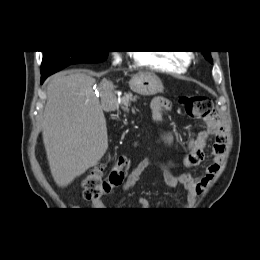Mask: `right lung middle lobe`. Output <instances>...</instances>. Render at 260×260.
<instances>
[{"instance_id":"obj_1","label":"right lung middle lobe","mask_w":260,"mask_h":260,"mask_svg":"<svg viewBox=\"0 0 260 260\" xmlns=\"http://www.w3.org/2000/svg\"><path fill=\"white\" fill-rule=\"evenodd\" d=\"M108 51H44L41 76H49L71 64L98 63L107 58Z\"/></svg>"}]
</instances>
